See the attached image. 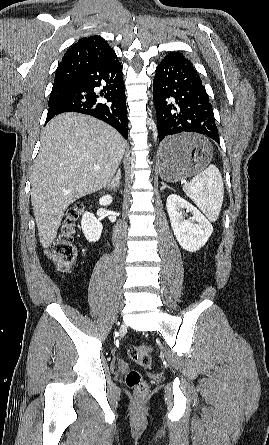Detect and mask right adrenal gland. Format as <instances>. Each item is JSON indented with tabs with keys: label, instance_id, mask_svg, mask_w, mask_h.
<instances>
[{
	"label": "right adrenal gland",
	"instance_id": "right-adrenal-gland-1",
	"mask_svg": "<svg viewBox=\"0 0 269 445\" xmlns=\"http://www.w3.org/2000/svg\"><path fill=\"white\" fill-rule=\"evenodd\" d=\"M120 179H121V171L118 169L116 177L106 185V187L110 190H113V192H116V190L120 187Z\"/></svg>",
	"mask_w": 269,
	"mask_h": 445
}]
</instances>
